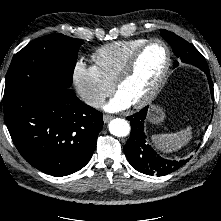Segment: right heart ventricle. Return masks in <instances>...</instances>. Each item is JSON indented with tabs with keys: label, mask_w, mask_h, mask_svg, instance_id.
Here are the masks:
<instances>
[{
	"label": "right heart ventricle",
	"mask_w": 221,
	"mask_h": 221,
	"mask_svg": "<svg viewBox=\"0 0 221 221\" xmlns=\"http://www.w3.org/2000/svg\"><path fill=\"white\" fill-rule=\"evenodd\" d=\"M146 41L136 38L107 43L93 53L92 60L100 74L113 84L129 56Z\"/></svg>",
	"instance_id": "1"
}]
</instances>
